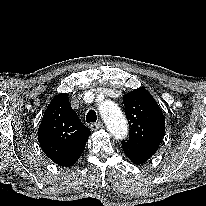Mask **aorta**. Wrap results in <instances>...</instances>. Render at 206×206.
<instances>
[{
	"instance_id": "1",
	"label": "aorta",
	"mask_w": 206,
	"mask_h": 206,
	"mask_svg": "<svg viewBox=\"0 0 206 206\" xmlns=\"http://www.w3.org/2000/svg\"><path fill=\"white\" fill-rule=\"evenodd\" d=\"M99 109L111 134L117 139L125 138L128 125L120 108L112 101H105Z\"/></svg>"
}]
</instances>
